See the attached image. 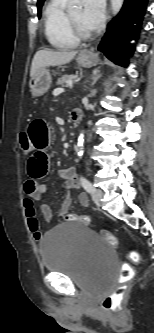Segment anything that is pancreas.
Returning <instances> with one entry per match:
<instances>
[{
    "label": "pancreas",
    "mask_w": 154,
    "mask_h": 333,
    "mask_svg": "<svg viewBox=\"0 0 154 333\" xmlns=\"http://www.w3.org/2000/svg\"><path fill=\"white\" fill-rule=\"evenodd\" d=\"M77 78H78L77 75H67V74L62 75L57 79V85L68 86L69 82H72Z\"/></svg>",
    "instance_id": "obj_1"
}]
</instances>
